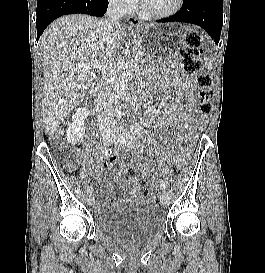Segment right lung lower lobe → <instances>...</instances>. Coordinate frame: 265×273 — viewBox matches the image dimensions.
<instances>
[{
  "label": "right lung lower lobe",
  "mask_w": 265,
  "mask_h": 273,
  "mask_svg": "<svg viewBox=\"0 0 265 273\" xmlns=\"http://www.w3.org/2000/svg\"><path fill=\"white\" fill-rule=\"evenodd\" d=\"M107 7L108 0H38L37 41L45 28L60 16L82 13L102 17Z\"/></svg>",
  "instance_id": "obj_1"
}]
</instances>
